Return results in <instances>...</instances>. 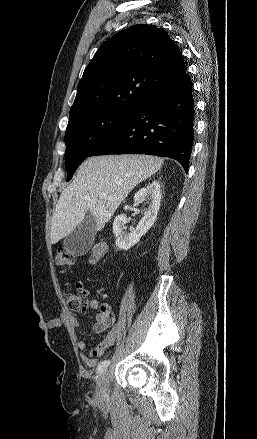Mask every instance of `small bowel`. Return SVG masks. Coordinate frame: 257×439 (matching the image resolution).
<instances>
[{"mask_svg":"<svg viewBox=\"0 0 257 439\" xmlns=\"http://www.w3.org/2000/svg\"><path fill=\"white\" fill-rule=\"evenodd\" d=\"M95 309L98 310L95 321L92 325V331L95 333L106 332L104 339L94 345L87 353L86 343L83 340H79L77 345L81 350L80 358L87 367H95L106 350H108L116 341L117 328L111 323L112 307L109 303H102L96 298H90L85 304L84 310ZM70 322L74 327L79 325L78 320L74 316H69Z\"/></svg>","mask_w":257,"mask_h":439,"instance_id":"c3829d8e","label":"small bowel"}]
</instances>
